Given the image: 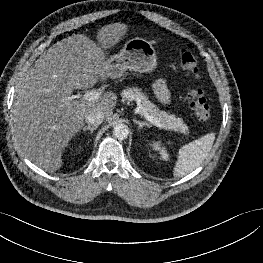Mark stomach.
<instances>
[{
	"label": "stomach",
	"instance_id": "stomach-1",
	"mask_svg": "<svg viewBox=\"0 0 263 263\" xmlns=\"http://www.w3.org/2000/svg\"><path fill=\"white\" fill-rule=\"evenodd\" d=\"M112 68L111 78H121L127 70L139 73H150L157 67V56L151 42L143 38L128 40L120 53L107 59Z\"/></svg>",
	"mask_w": 263,
	"mask_h": 263
}]
</instances>
